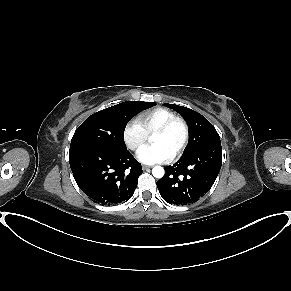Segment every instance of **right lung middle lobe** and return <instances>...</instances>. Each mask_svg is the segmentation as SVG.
<instances>
[{
	"label": "right lung middle lobe",
	"instance_id": "obj_1",
	"mask_svg": "<svg viewBox=\"0 0 291 291\" xmlns=\"http://www.w3.org/2000/svg\"><path fill=\"white\" fill-rule=\"evenodd\" d=\"M155 105L154 102L128 101L91 115L76 129L70 152L83 148L126 150L124 130L127 123L138 112Z\"/></svg>",
	"mask_w": 291,
	"mask_h": 291
}]
</instances>
